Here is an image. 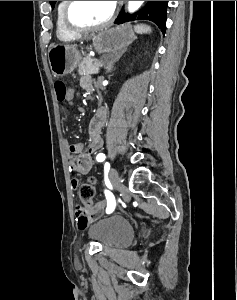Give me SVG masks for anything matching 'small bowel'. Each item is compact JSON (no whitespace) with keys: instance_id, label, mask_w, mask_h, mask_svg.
Instances as JSON below:
<instances>
[{"instance_id":"obj_1","label":"small bowel","mask_w":237,"mask_h":300,"mask_svg":"<svg viewBox=\"0 0 237 300\" xmlns=\"http://www.w3.org/2000/svg\"><path fill=\"white\" fill-rule=\"evenodd\" d=\"M81 87L87 91H90L93 87L91 78L88 76L83 77L81 79ZM74 95L75 91L73 89H69L68 96L73 99ZM106 120L107 111L105 108L101 107L95 112L89 122L88 145H86L84 142H75L69 145L68 149L71 154V167L73 170L80 173H88L91 170V156L102 147L103 140L101 137V132ZM78 184L79 182L76 178L72 179L71 185L74 189L77 188ZM105 207L106 203L101 201L93 207L94 213H87L84 208L78 206L75 210L77 227L81 230L85 229L93 221V219L104 210Z\"/></svg>"}]
</instances>
